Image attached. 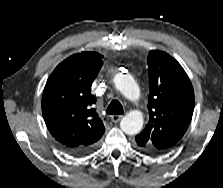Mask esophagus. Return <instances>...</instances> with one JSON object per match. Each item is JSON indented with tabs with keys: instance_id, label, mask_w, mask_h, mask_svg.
Listing matches in <instances>:
<instances>
[{
	"instance_id": "obj_1",
	"label": "esophagus",
	"mask_w": 223,
	"mask_h": 188,
	"mask_svg": "<svg viewBox=\"0 0 223 188\" xmlns=\"http://www.w3.org/2000/svg\"><path fill=\"white\" fill-rule=\"evenodd\" d=\"M123 118V115H113L111 116V120L114 123H117L118 121H120Z\"/></svg>"
}]
</instances>
